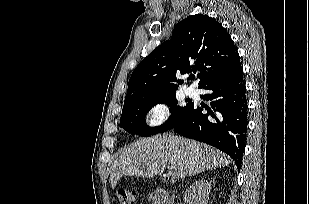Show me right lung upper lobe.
Segmentation results:
<instances>
[{
    "instance_id": "cb5924a9",
    "label": "right lung upper lobe",
    "mask_w": 309,
    "mask_h": 204,
    "mask_svg": "<svg viewBox=\"0 0 309 204\" xmlns=\"http://www.w3.org/2000/svg\"><path fill=\"white\" fill-rule=\"evenodd\" d=\"M239 65L234 42L220 23L207 15L189 16L176 24L170 40L136 67L125 101L176 92V73L200 71L199 88H202Z\"/></svg>"
}]
</instances>
